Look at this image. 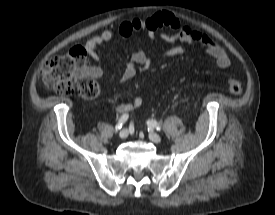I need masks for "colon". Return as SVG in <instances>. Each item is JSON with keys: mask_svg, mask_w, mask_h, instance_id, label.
Returning <instances> with one entry per match:
<instances>
[{"mask_svg": "<svg viewBox=\"0 0 275 215\" xmlns=\"http://www.w3.org/2000/svg\"><path fill=\"white\" fill-rule=\"evenodd\" d=\"M41 75L45 85L59 94L69 95L77 89L83 98L94 99L100 93L98 83L88 74L86 52L81 47L47 59L42 66ZM225 89L238 95L243 92L244 84L235 78H229Z\"/></svg>", "mask_w": 275, "mask_h": 215, "instance_id": "1", "label": "colon"}]
</instances>
